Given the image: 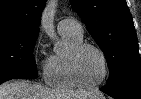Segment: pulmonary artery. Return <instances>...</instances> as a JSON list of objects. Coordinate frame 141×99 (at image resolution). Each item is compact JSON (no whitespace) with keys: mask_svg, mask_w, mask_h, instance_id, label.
<instances>
[{"mask_svg":"<svg viewBox=\"0 0 141 99\" xmlns=\"http://www.w3.org/2000/svg\"><path fill=\"white\" fill-rule=\"evenodd\" d=\"M58 31L61 34H72L75 36H83V28L81 24L73 18H64L58 23Z\"/></svg>","mask_w":141,"mask_h":99,"instance_id":"pulmonary-artery-1","label":"pulmonary artery"}]
</instances>
